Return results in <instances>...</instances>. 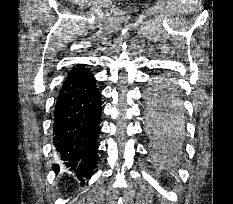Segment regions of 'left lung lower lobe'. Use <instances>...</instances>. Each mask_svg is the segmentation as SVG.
I'll use <instances>...</instances> for the list:
<instances>
[{
	"instance_id": "1",
	"label": "left lung lower lobe",
	"mask_w": 233,
	"mask_h": 204,
	"mask_svg": "<svg viewBox=\"0 0 233 204\" xmlns=\"http://www.w3.org/2000/svg\"><path fill=\"white\" fill-rule=\"evenodd\" d=\"M162 81H165V80H162ZM161 81V82H162ZM160 82V83H161ZM159 86L161 87V85L159 84ZM158 89H160V88H158ZM158 127H156L155 129L157 130V131H161V132H165V136H167V137H169L170 136V134H172V132L176 129V126H174L173 124H169V123H165V122H159L158 121ZM154 128V127H153ZM166 130V131H165ZM161 135H163V134H161Z\"/></svg>"
}]
</instances>
